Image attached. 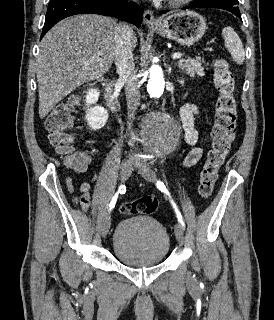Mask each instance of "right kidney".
Listing matches in <instances>:
<instances>
[{
  "mask_svg": "<svg viewBox=\"0 0 274 320\" xmlns=\"http://www.w3.org/2000/svg\"><path fill=\"white\" fill-rule=\"evenodd\" d=\"M85 94V120L90 130H101L107 124L109 114L102 106H97L100 96L98 88H89Z\"/></svg>",
  "mask_w": 274,
  "mask_h": 320,
  "instance_id": "obj_1",
  "label": "right kidney"
}]
</instances>
